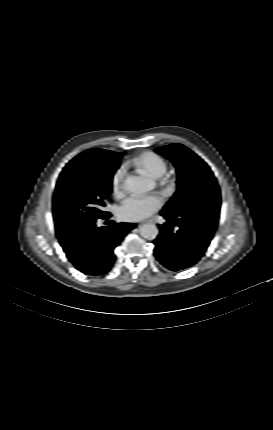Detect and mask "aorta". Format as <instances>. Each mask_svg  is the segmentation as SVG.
Instances as JSON below:
<instances>
[{
    "mask_svg": "<svg viewBox=\"0 0 273 430\" xmlns=\"http://www.w3.org/2000/svg\"><path fill=\"white\" fill-rule=\"evenodd\" d=\"M151 179L142 176H129L125 180L126 189L135 194L143 195L154 188ZM159 230L154 224H144L141 227V235L147 240H154L158 236Z\"/></svg>",
    "mask_w": 273,
    "mask_h": 430,
    "instance_id": "762f6f07",
    "label": "aorta"
}]
</instances>
